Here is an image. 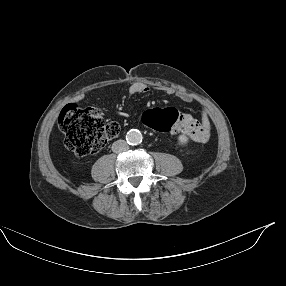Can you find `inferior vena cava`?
<instances>
[{"instance_id": "602c4592", "label": "inferior vena cava", "mask_w": 286, "mask_h": 286, "mask_svg": "<svg viewBox=\"0 0 286 286\" xmlns=\"http://www.w3.org/2000/svg\"><path fill=\"white\" fill-rule=\"evenodd\" d=\"M128 149L129 147L125 140H117L112 144V151L115 153L124 152Z\"/></svg>"}]
</instances>
